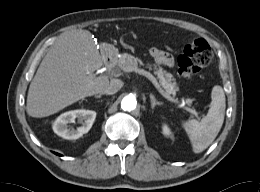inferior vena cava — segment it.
<instances>
[{"instance_id": "1", "label": "inferior vena cava", "mask_w": 260, "mask_h": 192, "mask_svg": "<svg viewBox=\"0 0 260 192\" xmlns=\"http://www.w3.org/2000/svg\"><path fill=\"white\" fill-rule=\"evenodd\" d=\"M123 86V82L120 79H112L108 86L102 90L101 93L112 95L118 92Z\"/></svg>"}]
</instances>
